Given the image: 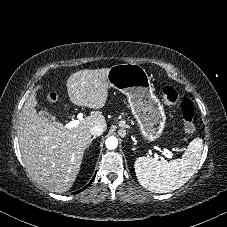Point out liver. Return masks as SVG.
Listing matches in <instances>:
<instances>
[{"label":"liver","mask_w":227,"mask_h":227,"mask_svg":"<svg viewBox=\"0 0 227 227\" xmlns=\"http://www.w3.org/2000/svg\"><path fill=\"white\" fill-rule=\"evenodd\" d=\"M108 71L109 68L85 69L67 79L70 101L96 110L72 129L39 116L36 92L43 86H37L23 106L18 130L22 160L32 179L51 192L63 193L72 187L92 139L91 127L102 124L106 129L100 109L108 99Z\"/></svg>","instance_id":"1"}]
</instances>
